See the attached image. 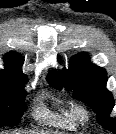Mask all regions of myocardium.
Wrapping results in <instances>:
<instances>
[{"mask_svg":"<svg viewBox=\"0 0 116 134\" xmlns=\"http://www.w3.org/2000/svg\"><path fill=\"white\" fill-rule=\"evenodd\" d=\"M71 115L79 122H85L89 119V110L82 103H72Z\"/></svg>","mask_w":116,"mask_h":134,"instance_id":"f54148a6","label":"myocardium"}]
</instances>
